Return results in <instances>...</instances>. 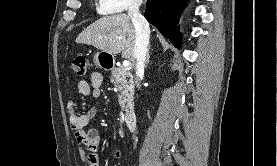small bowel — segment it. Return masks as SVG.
<instances>
[{"label":"small bowel","instance_id":"1","mask_svg":"<svg viewBox=\"0 0 277 166\" xmlns=\"http://www.w3.org/2000/svg\"><path fill=\"white\" fill-rule=\"evenodd\" d=\"M102 83V75L99 72H93L87 80H80L77 83V90L84 99H88L90 96L98 98L101 93ZM85 107L86 111L84 113L75 114L73 105L70 103V127L74 131L84 166H100L99 147L101 136L97 129L89 127L96 115L97 108L88 102L85 103ZM115 155L118 156L119 152H115Z\"/></svg>","mask_w":277,"mask_h":166}]
</instances>
